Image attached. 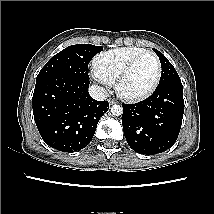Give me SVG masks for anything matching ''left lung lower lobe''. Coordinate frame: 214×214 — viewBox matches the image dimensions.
<instances>
[{
    "label": "left lung lower lobe",
    "mask_w": 214,
    "mask_h": 214,
    "mask_svg": "<svg viewBox=\"0 0 214 214\" xmlns=\"http://www.w3.org/2000/svg\"><path fill=\"white\" fill-rule=\"evenodd\" d=\"M122 107L123 131L129 146L145 155L164 152L176 142L182 124L181 80L159 85L144 101Z\"/></svg>",
    "instance_id": "0a47b994"
}]
</instances>
